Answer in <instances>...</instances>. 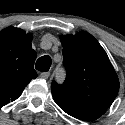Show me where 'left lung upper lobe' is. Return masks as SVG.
I'll return each instance as SVG.
<instances>
[{
  "mask_svg": "<svg viewBox=\"0 0 125 125\" xmlns=\"http://www.w3.org/2000/svg\"><path fill=\"white\" fill-rule=\"evenodd\" d=\"M66 80L51 85L56 104L67 114L85 121L101 117L119 91V80L99 42L88 32L60 37Z\"/></svg>",
  "mask_w": 125,
  "mask_h": 125,
  "instance_id": "left-lung-upper-lobe-1",
  "label": "left lung upper lobe"
}]
</instances>
